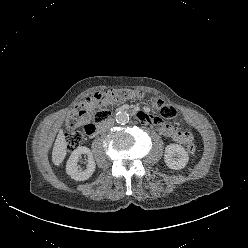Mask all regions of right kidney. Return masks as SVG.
<instances>
[{"instance_id": "right-kidney-1", "label": "right kidney", "mask_w": 248, "mask_h": 248, "mask_svg": "<svg viewBox=\"0 0 248 248\" xmlns=\"http://www.w3.org/2000/svg\"><path fill=\"white\" fill-rule=\"evenodd\" d=\"M81 155L87 156V167L85 170H81L77 165ZM96 168L95 161L93 159L92 152L89 148L82 146L76 148L70 155L66 163V173L76 181H84L89 179L94 173Z\"/></svg>"}]
</instances>
